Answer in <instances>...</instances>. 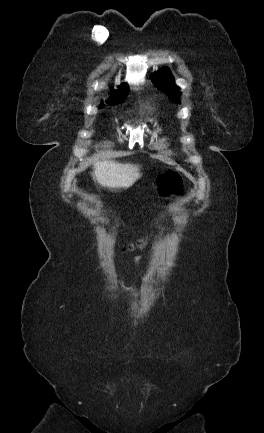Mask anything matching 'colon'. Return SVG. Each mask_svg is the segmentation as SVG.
Instances as JSON below:
<instances>
[{"label": "colon", "instance_id": "obj_1", "mask_svg": "<svg viewBox=\"0 0 264 433\" xmlns=\"http://www.w3.org/2000/svg\"><path fill=\"white\" fill-rule=\"evenodd\" d=\"M159 191L162 195L179 194L182 190L180 176L173 170H168L158 177ZM139 243V242H137ZM143 240L141 244H143ZM128 248H133L131 245Z\"/></svg>", "mask_w": 264, "mask_h": 433}]
</instances>
